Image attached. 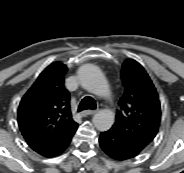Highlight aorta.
<instances>
[{"label": "aorta", "instance_id": "1", "mask_svg": "<svg viewBox=\"0 0 184 173\" xmlns=\"http://www.w3.org/2000/svg\"><path fill=\"white\" fill-rule=\"evenodd\" d=\"M79 80L89 92L108 98L111 95L109 85L103 73L93 65H85L80 69ZM93 124L99 131L109 130L115 121L114 112L109 109L98 111L93 117Z\"/></svg>", "mask_w": 184, "mask_h": 173}]
</instances>
